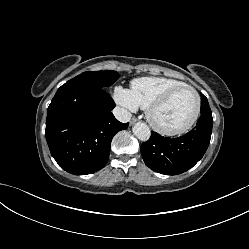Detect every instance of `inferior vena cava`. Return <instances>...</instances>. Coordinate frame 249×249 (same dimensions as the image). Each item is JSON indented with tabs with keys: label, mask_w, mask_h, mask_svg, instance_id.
Here are the masks:
<instances>
[{
	"label": "inferior vena cava",
	"mask_w": 249,
	"mask_h": 249,
	"mask_svg": "<svg viewBox=\"0 0 249 249\" xmlns=\"http://www.w3.org/2000/svg\"><path fill=\"white\" fill-rule=\"evenodd\" d=\"M113 114L116 117V119L122 123H126L131 119V113L121 107H115L113 110Z\"/></svg>",
	"instance_id": "obj_1"
}]
</instances>
